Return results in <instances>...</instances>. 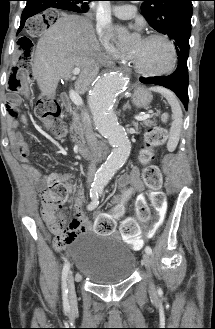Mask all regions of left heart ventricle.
Instances as JSON below:
<instances>
[{
    "label": "left heart ventricle",
    "mask_w": 215,
    "mask_h": 329,
    "mask_svg": "<svg viewBox=\"0 0 215 329\" xmlns=\"http://www.w3.org/2000/svg\"><path fill=\"white\" fill-rule=\"evenodd\" d=\"M139 65L151 72L167 69L173 59L169 45L160 39H139L130 50Z\"/></svg>",
    "instance_id": "obj_1"
}]
</instances>
